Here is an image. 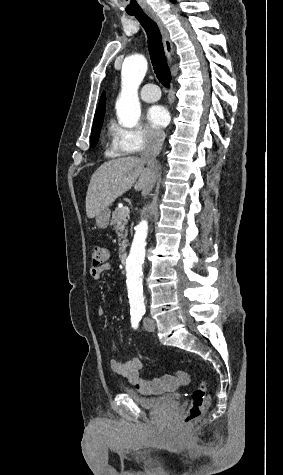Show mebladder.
I'll return each mask as SVG.
<instances>
[{
    "mask_svg": "<svg viewBox=\"0 0 283 475\" xmlns=\"http://www.w3.org/2000/svg\"><path fill=\"white\" fill-rule=\"evenodd\" d=\"M125 396L128 397L134 404L139 405L147 411L159 410L162 406L171 405L175 408L180 404L181 395L174 393H167L162 397H142L134 388H125ZM172 402V403H171Z\"/></svg>",
    "mask_w": 283,
    "mask_h": 475,
    "instance_id": "1",
    "label": "bladder"
}]
</instances>
